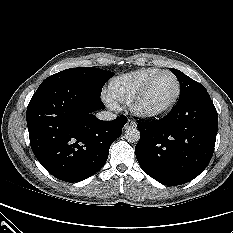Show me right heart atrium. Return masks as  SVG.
Here are the masks:
<instances>
[{"label":"right heart atrium","instance_id":"obj_1","mask_svg":"<svg viewBox=\"0 0 233 233\" xmlns=\"http://www.w3.org/2000/svg\"><path fill=\"white\" fill-rule=\"evenodd\" d=\"M104 99L106 101V103L110 106V107H116V101H114L109 94L104 95Z\"/></svg>","mask_w":233,"mask_h":233}]
</instances>
